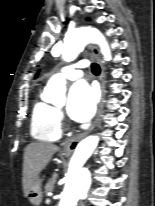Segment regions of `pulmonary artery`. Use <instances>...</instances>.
Returning <instances> with one entry per match:
<instances>
[{
    "label": "pulmonary artery",
    "mask_w": 155,
    "mask_h": 206,
    "mask_svg": "<svg viewBox=\"0 0 155 206\" xmlns=\"http://www.w3.org/2000/svg\"><path fill=\"white\" fill-rule=\"evenodd\" d=\"M87 66H88L87 62L83 60L75 64H68V65L63 66L60 69V72L67 79L74 80L82 76L83 74L82 70L86 68Z\"/></svg>",
    "instance_id": "obj_1"
}]
</instances>
